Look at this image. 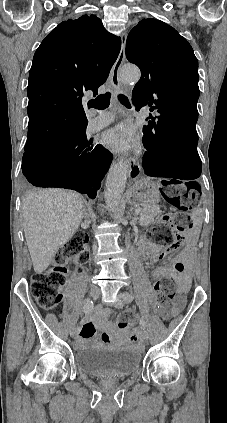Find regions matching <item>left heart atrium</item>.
Segmentation results:
<instances>
[{
  "instance_id": "obj_1",
  "label": "left heart atrium",
  "mask_w": 227,
  "mask_h": 423,
  "mask_svg": "<svg viewBox=\"0 0 227 423\" xmlns=\"http://www.w3.org/2000/svg\"><path fill=\"white\" fill-rule=\"evenodd\" d=\"M102 142L112 151L128 152L139 148L140 137L134 128L123 125L106 131Z\"/></svg>"
}]
</instances>
